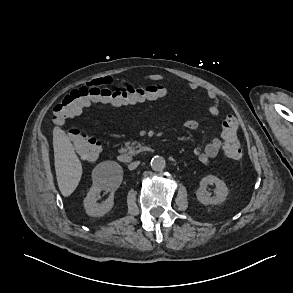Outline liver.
Listing matches in <instances>:
<instances>
[{
	"instance_id": "obj_1",
	"label": "liver",
	"mask_w": 293,
	"mask_h": 293,
	"mask_svg": "<svg viewBox=\"0 0 293 293\" xmlns=\"http://www.w3.org/2000/svg\"><path fill=\"white\" fill-rule=\"evenodd\" d=\"M54 165L59 190L64 197L73 193L82 176V164L65 131L53 132Z\"/></svg>"
}]
</instances>
